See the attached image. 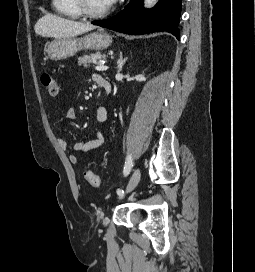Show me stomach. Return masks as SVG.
Here are the masks:
<instances>
[{
    "instance_id": "obj_1",
    "label": "stomach",
    "mask_w": 255,
    "mask_h": 272,
    "mask_svg": "<svg viewBox=\"0 0 255 272\" xmlns=\"http://www.w3.org/2000/svg\"><path fill=\"white\" fill-rule=\"evenodd\" d=\"M112 43V37L104 30L89 33L81 38L67 37L56 39L46 49L51 60H61L75 55L83 49L103 50Z\"/></svg>"
}]
</instances>
